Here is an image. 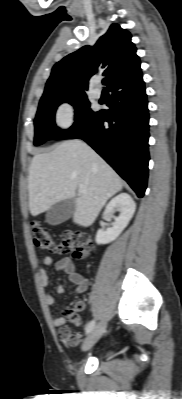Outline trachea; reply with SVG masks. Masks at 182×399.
Segmentation results:
<instances>
[{"label":"trachea","mask_w":182,"mask_h":399,"mask_svg":"<svg viewBox=\"0 0 182 399\" xmlns=\"http://www.w3.org/2000/svg\"><path fill=\"white\" fill-rule=\"evenodd\" d=\"M102 83H103V85H105V84L107 83V79L104 78L103 81H102Z\"/></svg>","instance_id":"obj_1"}]
</instances>
